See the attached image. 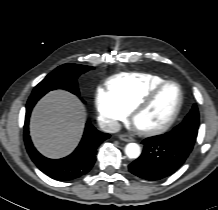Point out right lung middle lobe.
I'll use <instances>...</instances> for the list:
<instances>
[{
	"mask_svg": "<svg viewBox=\"0 0 218 210\" xmlns=\"http://www.w3.org/2000/svg\"><path fill=\"white\" fill-rule=\"evenodd\" d=\"M90 69L94 68L79 64L61 65L35 86L31 96L43 95L55 89H65L75 95H79L77 78Z\"/></svg>",
	"mask_w": 218,
	"mask_h": 210,
	"instance_id": "right-lung-middle-lobe-1",
	"label": "right lung middle lobe"
}]
</instances>
